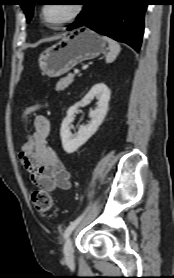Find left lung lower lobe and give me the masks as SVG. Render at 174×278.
<instances>
[{
    "label": "left lung lower lobe",
    "mask_w": 174,
    "mask_h": 278,
    "mask_svg": "<svg viewBox=\"0 0 174 278\" xmlns=\"http://www.w3.org/2000/svg\"><path fill=\"white\" fill-rule=\"evenodd\" d=\"M77 21L68 30L87 26L97 33L141 48L147 0H85Z\"/></svg>",
    "instance_id": "left-lung-lower-lobe-1"
}]
</instances>
